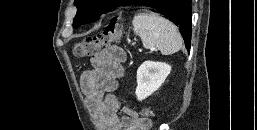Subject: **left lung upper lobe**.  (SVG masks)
Returning <instances> with one entry per match:
<instances>
[{"label": "left lung upper lobe", "instance_id": "5c2ea615", "mask_svg": "<svg viewBox=\"0 0 257 130\" xmlns=\"http://www.w3.org/2000/svg\"><path fill=\"white\" fill-rule=\"evenodd\" d=\"M136 0H75L74 4L78 11L73 21V27L78 28L80 25L95 21L102 13L117 6L132 3ZM93 11V14L90 13Z\"/></svg>", "mask_w": 257, "mask_h": 130}]
</instances>
